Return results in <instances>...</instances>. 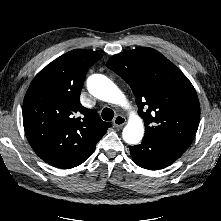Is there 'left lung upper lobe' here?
Here are the masks:
<instances>
[{"instance_id": "obj_1", "label": "left lung upper lobe", "mask_w": 221, "mask_h": 221, "mask_svg": "<svg viewBox=\"0 0 221 221\" xmlns=\"http://www.w3.org/2000/svg\"><path fill=\"white\" fill-rule=\"evenodd\" d=\"M106 65L132 88L145 123L144 138L184 153L200 120L199 100L187 77L152 48L114 55Z\"/></svg>"}]
</instances>
